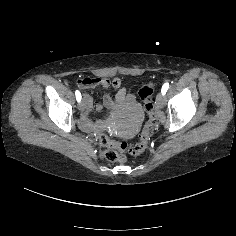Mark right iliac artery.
<instances>
[{
  "label": "right iliac artery",
  "instance_id": "1",
  "mask_svg": "<svg viewBox=\"0 0 236 236\" xmlns=\"http://www.w3.org/2000/svg\"><path fill=\"white\" fill-rule=\"evenodd\" d=\"M75 95H76V100L78 102H80L81 101V93L78 90H76Z\"/></svg>",
  "mask_w": 236,
  "mask_h": 236
}]
</instances>
